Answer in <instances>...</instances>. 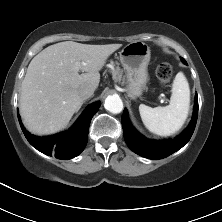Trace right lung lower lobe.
<instances>
[{
  "label": "right lung lower lobe",
  "instance_id": "98d812e1",
  "mask_svg": "<svg viewBox=\"0 0 222 222\" xmlns=\"http://www.w3.org/2000/svg\"><path fill=\"white\" fill-rule=\"evenodd\" d=\"M99 106L100 102L91 104L68 131L54 136L36 137L31 135L23 127L19 114L18 120L25 137L37 150L49 156L54 155L58 159H71L79 155L85 148L89 125Z\"/></svg>",
  "mask_w": 222,
  "mask_h": 222
}]
</instances>
